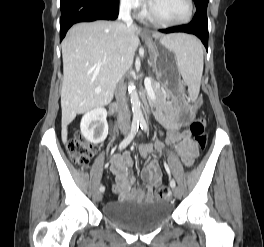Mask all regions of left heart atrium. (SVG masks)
I'll use <instances>...</instances> for the list:
<instances>
[{
	"mask_svg": "<svg viewBox=\"0 0 264 247\" xmlns=\"http://www.w3.org/2000/svg\"><path fill=\"white\" fill-rule=\"evenodd\" d=\"M153 0H149L150 3H152Z\"/></svg>",
	"mask_w": 264,
	"mask_h": 247,
	"instance_id": "39dd6f15",
	"label": "left heart atrium"
}]
</instances>
